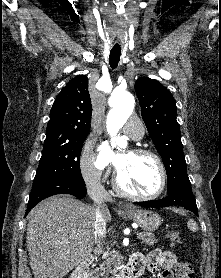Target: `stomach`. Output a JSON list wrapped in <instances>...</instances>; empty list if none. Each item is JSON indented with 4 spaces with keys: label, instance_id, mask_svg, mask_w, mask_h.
I'll return each mask as SVG.
<instances>
[{
    "label": "stomach",
    "instance_id": "stomach-1",
    "mask_svg": "<svg viewBox=\"0 0 221 278\" xmlns=\"http://www.w3.org/2000/svg\"><path fill=\"white\" fill-rule=\"evenodd\" d=\"M124 214L146 231L156 230L160 226L162 221L159 214L148 210L131 208L125 210Z\"/></svg>",
    "mask_w": 221,
    "mask_h": 278
}]
</instances>
